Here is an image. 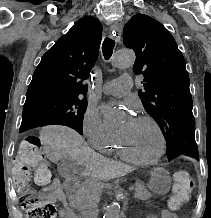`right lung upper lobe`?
Listing matches in <instances>:
<instances>
[{
	"instance_id": "right-lung-upper-lobe-1",
	"label": "right lung upper lobe",
	"mask_w": 211,
	"mask_h": 218,
	"mask_svg": "<svg viewBox=\"0 0 211 218\" xmlns=\"http://www.w3.org/2000/svg\"><path fill=\"white\" fill-rule=\"evenodd\" d=\"M102 38L98 19L86 16L48 50L37 66L28 87L26 102L54 97H76L85 94L83 81L94 66ZM86 100V99H83Z\"/></svg>"
}]
</instances>
